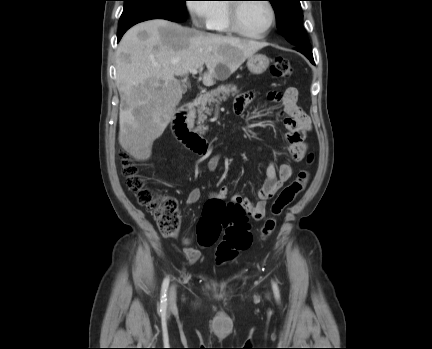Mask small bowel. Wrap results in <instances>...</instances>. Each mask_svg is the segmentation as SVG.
<instances>
[{"mask_svg":"<svg viewBox=\"0 0 432 349\" xmlns=\"http://www.w3.org/2000/svg\"><path fill=\"white\" fill-rule=\"evenodd\" d=\"M255 98V93L248 91L238 95L234 102V111L236 114H241L247 105ZM268 99L273 102H279L282 105V115L284 116V124L287 129L285 135L286 146L285 151L290 155L292 161H301L307 152L308 145L306 142V134L312 129L310 117L298 106V91L294 87L286 89L284 92H271L268 94ZM221 159L220 154L212 156L207 162V168L210 171L217 169ZM292 166L284 163L277 169L273 163H270L266 168V175L263 185L257 192L258 200L251 202L248 198L242 197L239 194L231 196L232 202L239 203L245 209L248 217L255 221L262 220L266 215V204L292 176ZM230 194L227 186H222L219 191L211 193L213 200L223 201ZM201 190L193 188L187 198L186 204H196L201 199ZM183 252L191 264L196 263L201 258V252L191 247V240L183 239Z\"/></svg>","mask_w":432,"mask_h":349,"instance_id":"small-bowel-1","label":"small bowel"}]
</instances>
